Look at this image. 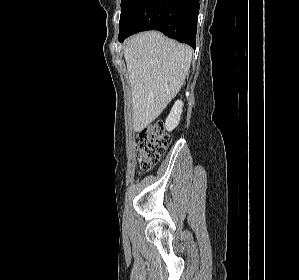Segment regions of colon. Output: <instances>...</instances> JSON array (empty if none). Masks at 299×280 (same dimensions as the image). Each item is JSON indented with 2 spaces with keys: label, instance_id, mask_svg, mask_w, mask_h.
<instances>
[{
  "label": "colon",
  "instance_id": "colon-1",
  "mask_svg": "<svg viewBox=\"0 0 299 280\" xmlns=\"http://www.w3.org/2000/svg\"><path fill=\"white\" fill-rule=\"evenodd\" d=\"M170 137L162 121H155L139 132L137 150L142 172L150 170L164 154Z\"/></svg>",
  "mask_w": 299,
  "mask_h": 280
}]
</instances>
